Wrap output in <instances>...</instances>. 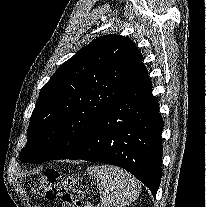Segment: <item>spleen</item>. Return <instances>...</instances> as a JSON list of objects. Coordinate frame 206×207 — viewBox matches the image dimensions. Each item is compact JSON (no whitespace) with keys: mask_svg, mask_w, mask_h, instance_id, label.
<instances>
[{"mask_svg":"<svg viewBox=\"0 0 206 207\" xmlns=\"http://www.w3.org/2000/svg\"><path fill=\"white\" fill-rule=\"evenodd\" d=\"M87 171L97 180L102 207H126L138 198L141 185L129 172L109 165Z\"/></svg>","mask_w":206,"mask_h":207,"instance_id":"3e777b00","label":"spleen"}]
</instances>
